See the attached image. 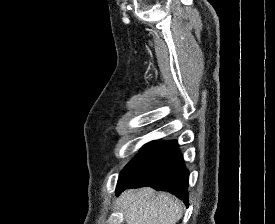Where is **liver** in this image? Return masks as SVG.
Returning a JSON list of instances; mask_svg holds the SVG:
<instances>
[{"mask_svg":"<svg viewBox=\"0 0 275 224\" xmlns=\"http://www.w3.org/2000/svg\"><path fill=\"white\" fill-rule=\"evenodd\" d=\"M126 224H176L182 217L183 203L166 192L149 187L125 190L116 201Z\"/></svg>","mask_w":275,"mask_h":224,"instance_id":"liver-1","label":"liver"}]
</instances>
